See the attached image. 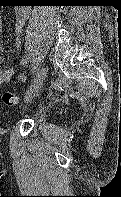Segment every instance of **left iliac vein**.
<instances>
[{"instance_id":"1","label":"left iliac vein","mask_w":121,"mask_h":197,"mask_svg":"<svg viewBox=\"0 0 121 197\" xmlns=\"http://www.w3.org/2000/svg\"><path fill=\"white\" fill-rule=\"evenodd\" d=\"M46 72L47 70L45 67L38 70L34 79L31 82L30 87L28 88L26 92V95L24 97V102L30 101L34 96L38 94V92L40 91L43 85L44 79L46 77Z\"/></svg>"}]
</instances>
